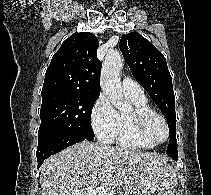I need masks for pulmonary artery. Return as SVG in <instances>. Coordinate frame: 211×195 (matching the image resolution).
I'll return each instance as SVG.
<instances>
[{"mask_svg": "<svg viewBox=\"0 0 211 195\" xmlns=\"http://www.w3.org/2000/svg\"><path fill=\"white\" fill-rule=\"evenodd\" d=\"M122 90L126 95L129 96H145L143 88L136 81L129 77H124L122 79Z\"/></svg>", "mask_w": 211, "mask_h": 195, "instance_id": "pulmonary-artery-1", "label": "pulmonary artery"}]
</instances>
